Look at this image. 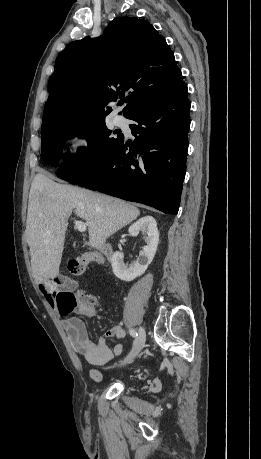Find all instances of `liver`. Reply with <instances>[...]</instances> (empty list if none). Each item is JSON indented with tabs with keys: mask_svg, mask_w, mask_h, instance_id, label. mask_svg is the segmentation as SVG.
Segmentation results:
<instances>
[{
	"mask_svg": "<svg viewBox=\"0 0 261 459\" xmlns=\"http://www.w3.org/2000/svg\"><path fill=\"white\" fill-rule=\"evenodd\" d=\"M73 210L86 221L89 245L97 249L140 215L137 207L118 198L57 183L46 172L36 174L29 195L26 236L33 276L37 283L46 284L48 293L57 288L51 279L59 273L67 220Z\"/></svg>",
	"mask_w": 261,
	"mask_h": 459,
	"instance_id": "liver-1",
	"label": "liver"
}]
</instances>
